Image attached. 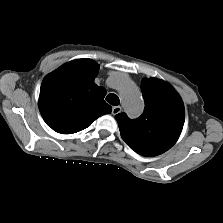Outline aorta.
<instances>
[{
  "label": "aorta",
  "instance_id": "aorta-1",
  "mask_svg": "<svg viewBox=\"0 0 223 223\" xmlns=\"http://www.w3.org/2000/svg\"><path fill=\"white\" fill-rule=\"evenodd\" d=\"M115 82L128 115L133 118L140 116L144 109V102L138 87L122 74L116 75Z\"/></svg>",
  "mask_w": 223,
  "mask_h": 223
}]
</instances>
